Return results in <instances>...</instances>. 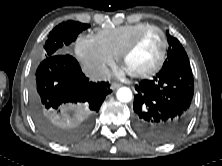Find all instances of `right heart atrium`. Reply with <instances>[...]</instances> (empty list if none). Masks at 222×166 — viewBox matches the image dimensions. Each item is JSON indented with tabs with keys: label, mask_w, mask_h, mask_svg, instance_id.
I'll return each instance as SVG.
<instances>
[{
	"label": "right heart atrium",
	"mask_w": 222,
	"mask_h": 166,
	"mask_svg": "<svg viewBox=\"0 0 222 166\" xmlns=\"http://www.w3.org/2000/svg\"><path fill=\"white\" fill-rule=\"evenodd\" d=\"M78 60L84 70L93 78L103 79L114 63V57L108 54L91 35H80L75 43Z\"/></svg>",
	"instance_id": "d8ad5b80"
}]
</instances>
